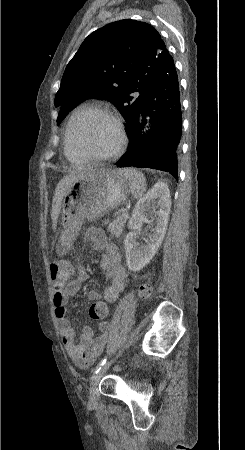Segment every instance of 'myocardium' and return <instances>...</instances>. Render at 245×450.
I'll list each match as a JSON object with an SVG mask.
<instances>
[{"label":"myocardium","mask_w":245,"mask_h":450,"mask_svg":"<svg viewBox=\"0 0 245 450\" xmlns=\"http://www.w3.org/2000/svg\"><path fill=\"white\" fill-rule=\"evenodd\" d=\"M99 118L106 119V120L110 121L111 123H113L118 132V135H119V142H118L116 149L113 152L106 154V155H102V156H96V155H91V154L87 153L78 144L77 139L75 137V124L77 121L83 120V121L88 122V121H92V120L99 119ZM68 130H69L70 141H71L73 148L77 152H79L81 155H83L85 158L99 161V162L111 161V160L118 158L124 152L127 142H128V137H127V133H126V129H125L123 121L117 114H115L109 110H106V109H96L82 118H77V117L71 118V120L69 122Z\"/></svg>","instance_id":"obj_1"}]
</instances>
